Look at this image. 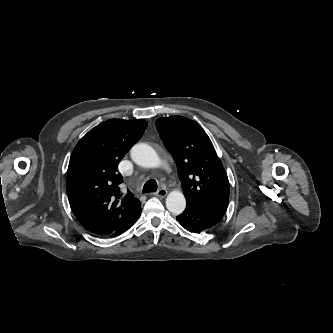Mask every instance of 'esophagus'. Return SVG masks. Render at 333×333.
<instances>
[{
	"mask_svg": "<svg viewBox=\"0 0 333 333\" xmlns=\"http://www.w3.org/2000/svg\"><path fill=\"white\" fill-rule=\"evenodd\" d=\"M154 195L157 196V197H160V198H164L167 195V190L166 189H160L159 191L154 193Z\"/></svg>",
	"mask_w": 333,
	"mask_h": 333,
	"instance_id": "1",
	"label": "esophagus"
}]
</instances>
